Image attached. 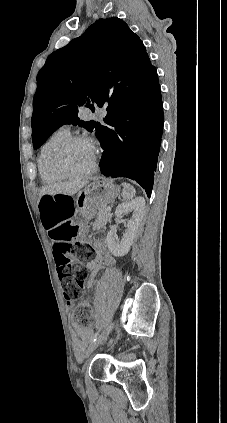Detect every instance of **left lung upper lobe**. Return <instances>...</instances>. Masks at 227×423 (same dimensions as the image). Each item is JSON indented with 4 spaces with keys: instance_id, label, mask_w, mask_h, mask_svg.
Masks as SVG:
<instances>
[{
    "instance_id": "5c2ea615",
    "label": "left lung upper lobe",
    "mask_w": 227,
    "mask_h": 423,
    "mask_svg": "<svg viewBox=\"0 0 227 423\" xmlns=\"http://www.w3.org/2000/svg\"><path fill=\"white\" fill-rule=\"evenodd\" d=\"M154 70L143 42L123 20L96 21L83 35L50 54L37 75L34 149L65 123L95 130L99 137L101 124L81 121L78 107L92 108V103L107 106V112L126 110Z\"/></svg>"
}]
</instances>
